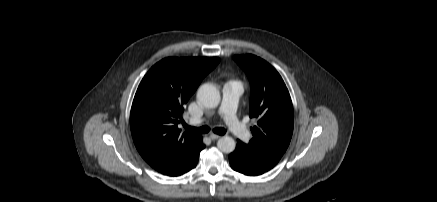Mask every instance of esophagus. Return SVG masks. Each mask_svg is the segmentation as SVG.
I'll use <instances>...</instances> for the list:
<instances>
[{
  "mask_svg": "<svg viewBox=\"0 0 437 202\" xmlns=\"http://www.w3.org/2000/svg\"><path fill=\"white\" fill-rule=\"evenodd\" d=\"M209 137H210L211 140H217V139L220 138V135H217V134H213V133H212V134H210Z\"/></svg>",
  "mask_w": 437,
  "mask_h": 202,
  "instance_id": "1",
  "label": "esophagus"
}]
</instances>
